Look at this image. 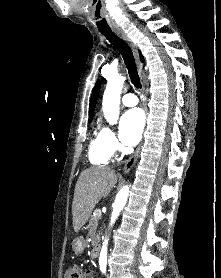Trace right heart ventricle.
Segmentation results:
<instances>
[{
	"instance_id": "obj_1",
	"label": "right heart ventricle",
	"mask_w": 221,
	"mask_h": 278,
	"mask_svg": "<svg viewBox=\"0 0 221 278\" xmlns=\"http://www.w3.org/2000/svg\"><path fill=\"white\" fill-rule=\"evenodd\" d=\"M112 154L104 140L102 132L97 131L90 142L89 158L91 163L95 165H106L109 163Z\"/></svg>"
}]
</instances>
